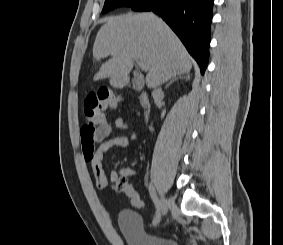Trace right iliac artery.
<instances>
[{"mask_svg": "<svg viewBox=\"0 0 283 245\" xmlns=\"http://www.w3.org/2000/svg\"><path fill=\"white\" fill-rule=\"evenodd\" d=\"M148 189H149V193H150V196H151V198H152V200H153V202H154V204H155V207H156V215H155V217H154V220H153V224H154V222H155V219L158 217V215H159V209H160V201H159V199H158V197H157V195H156V192H155V190H154V187L151 185V184H149L148 185Z\"/></svg>", "mask_w": 283, "mask_h": 245, "instance_id": "obj_1", "label": "right iliac artery"}]
</instances>
